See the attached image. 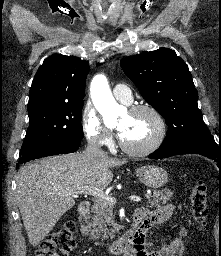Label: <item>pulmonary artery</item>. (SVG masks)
I'll return each instance as SVG.
<instances>
[{
  "mask_svg": "<svg viewBox=\"0 0 221 256\" xmlns=\"http://www.w3.org/2000/svg\"><path fill=\"white\" fill-rule=\"evenodd\" d=\"M114 97L122 103L129 104L132 101L130 88L125 84H117L113 88Z\"/></svg>",
  "mask_w": 221,
  "mask_h": 256,
  "instance_id": "pulmonary-artery-1",
  "label": "pulmonary artery"
}]
</instances>
